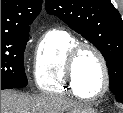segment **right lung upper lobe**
Wrapping results in <instances>:
<instances>
[{
	"instance_id": "right-lung-upper-lobe-1",
	"label": "right lung upper lobe",
	"mask_w": 123,
	"mask_h": 113,
	"mask_svg": "<svg viewBox=\"0 0 123 113\" xmlns=\"http://www.w3.org/2000/svg\"><path fill=\"white\" fill-rule=\"evenodd\" d=\"M42 0H1V38L28 35Z\"/></svg>"
}]
</instances>
